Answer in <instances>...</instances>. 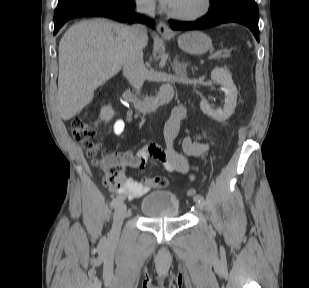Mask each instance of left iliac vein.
<instances>
[{
  "label": "left iliac vein",
  "instance_id": "obj_1",
  "mask_svg": "<svg viewBox=\"0 0 309 288\" xmlns=\"http://www.w3.org/2000/svg\"><path fill=\"white\" fill-rule=\"evenodd\" d=\"M196 202V206L198 209L203 210L205 207V202L204 200H200V201H195Z\"/></svg>",
  "mask_w": 309,
  "mask_h": 288
}]
</instances>
